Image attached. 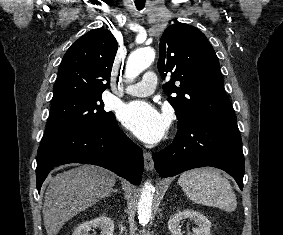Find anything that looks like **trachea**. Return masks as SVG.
I'll list each match as a JSON object with an SVG mask.
<instances>
[{
    "mask_svg": "<svg viewBox=\"0 0 283 235\" xmlns=\"http://www.w3.org/2000/svg\"><path fill=\"white\" fill-rule=\"evenodd\" d=\"M136 7L138 10H141L144 8L145 4L144 3H135Z\"/></svg>",
    "mask_w": 283,
    "mask_h": 235,
    "instance_id": "1",
    "label": "trachea"
}]
</instances>
